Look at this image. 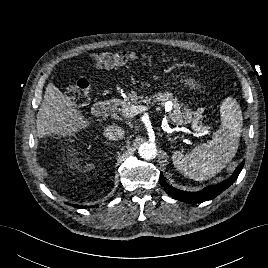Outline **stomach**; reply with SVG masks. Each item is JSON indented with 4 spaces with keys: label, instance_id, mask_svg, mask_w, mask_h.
<instances>
[{
    "label": "stomach",
    "instance_id": "1",
    "mask_svg": "<svg viewBox=\"0 0 268 268\" xmlns=\"http://www.w3.org/2000/svg\"><path fill=\"white\" fill-rule=\"evenodd\" d=\"M181 83H184L186 86H189L191 89L199 88V85L190 77L180 76ZM184 78V79H182Z\"/></svg>",
    "mask_w": 268,
    "mask_h": 268
}]
</instances>
